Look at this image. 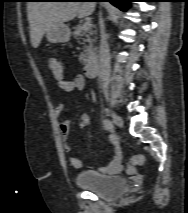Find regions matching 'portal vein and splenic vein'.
I'll use <instances>...</instances> for the list:
<instances>
[{"mask_svg": "<svg viewBox=\"0 0 188 213\" xmlns=\"http://www.w3.org/2000/svg\"><path fill=\"white\" fill-rule=\"evenodd\" d=\"M91 22L90 21H86L84 24H83V28L85 29V30H87V29H89L90 27H91Z\"/></svg>", "mask_w": 188, "mask_h": 213, "instance_id": "obj_1", "label": "portal vein and splenic vein"}]
</instances>
